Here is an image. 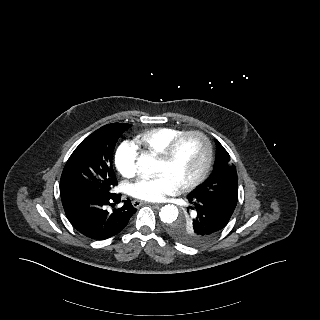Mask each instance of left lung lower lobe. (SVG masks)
<instances>
[{
	"instance_id": "1",
	"label": "left lung lower lobe",
	"mask_w": 320,
	"mask_h": 320,
	"mask_svg": "<svg viewBox=\"0 0 320 320\" xmlns=\"http://www.w3.org/2000/svg\"><path fill=\"white\" fill-rule=\"evenodd\" d=\"M188 200L200 213L198 234L204 242L221 232L234 211L218 201L200 195L189 194Z\"/></svg>"
}]
</instances>
